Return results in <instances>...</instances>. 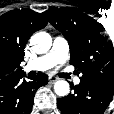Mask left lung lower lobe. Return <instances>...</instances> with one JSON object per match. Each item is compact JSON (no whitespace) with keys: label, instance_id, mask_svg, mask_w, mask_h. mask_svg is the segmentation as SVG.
I'll list each match as a JSON object with an SVG mask.
<instances>
[{"label":"left lung lower lobe","instance_id":"left-lung-lower-lobe-1","mask_svg":"<svg viewBox=\"0 0 114 114\" xmlns=\"http://www.w3.org/2000/svg\"><path fill=\"white\" fill-rule=\"evenodd\" d=\"M72 89L73 93L57 99L64 114H102L114 95V87L89 80L80 79Z\"/></svg>","mask_w":114,"mask_h":114}]
</instances>
